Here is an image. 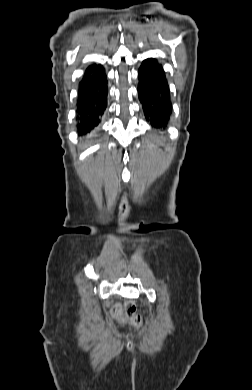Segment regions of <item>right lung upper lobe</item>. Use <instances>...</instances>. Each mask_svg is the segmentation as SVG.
<instances>
[{
    "mask_svg": "<svg viewBox=\"0 0 252 390\" xmlns=\"http://www.w3.org/2000/svg\"><path fill=\"white\" fill-rule=\"evenodd\" d=\"M100 68H101V65L93 64V65L89 66V67L86 69L85 73H91V72H94V71L99 70Z\"/></svg>",
    "mask_w": 252,
    "mask_h": 390,
    "instance_id": "cb5924a9",
    "label": "right lung upper lobe"
}]
</instances>
